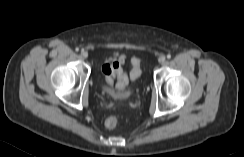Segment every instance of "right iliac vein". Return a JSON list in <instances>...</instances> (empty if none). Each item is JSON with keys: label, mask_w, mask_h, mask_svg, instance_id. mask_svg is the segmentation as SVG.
I'll return each instance as SVG.
<instances>
[{"label": "right iliac vein", "mask_w": 244, "mask_h": 157, "mask_svg": "<svg viewBox=\"0 0 244 157\" xmlns=\"http://www.w3.org/2000/svg\"><path fill=\"white\" fill-rule=\"evenodd\" d=\"M81 57L83 58V59H86L87 57H88V53L86 52V51H82L81 52Z\"/></svg>", "instance_id": "right-iliac-vein-1"}]
</instances>
